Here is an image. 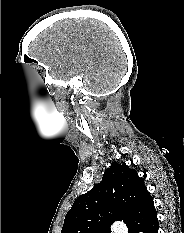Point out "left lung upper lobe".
I'll use <instances>...</instances> for the list:
<instances>
[{
    "instance_id": "5c2ea615",
    "label": "left lung upper lobe",
    "mask_w": 184,
    "mask_h": 233,
    "mask_svg": "<svg viewBox=\"0 0 184 233\" xmlns=\"http://www.w3.org/2000/svg\"><path fill=\"white\" fill-rule=\"evenodd\" d=\"M147 192L136 170L113 162L102 181L74 201L61 233H110L113 222L127 223Z\"/></svg>"
}]
</instances>
